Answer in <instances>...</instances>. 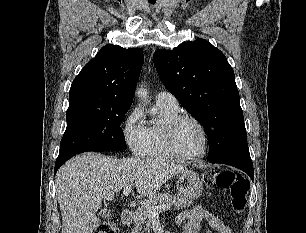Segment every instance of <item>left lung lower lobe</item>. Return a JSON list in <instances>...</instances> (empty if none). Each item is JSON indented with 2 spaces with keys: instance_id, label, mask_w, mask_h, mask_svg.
<instances>
[{
  "instance_id": "left-lung-lower-lobe-1",
  "label": "left lung lower lobe",
  "mask_w": 306,
  "mask_h": 233,
  "mask_svg": "<svg viewBox=\"0 0 306 233\" xmlns=\"http://www.w3.org/2000/svg\"><path fill=\"white\" fill-rule=\"evenodd\" d=\"M208 161L211 163L231 165L246 172L252 180L254 178L253 164L249 151L228 154L214 159H208Z\"/></svg>"
}]
</instances>
